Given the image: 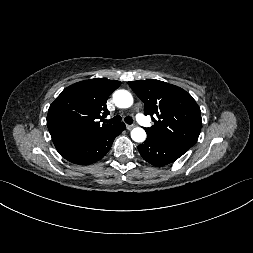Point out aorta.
Returning a JSON list of instances; mask_svg holds the SVG:
<instances>
[{"label": "aorta", "mask_w": 253, "mask_h": 253, "mask_svg": "<svg viewBox=\"0 0 253 253\" xmlns=\"http://www.w3.org/2000/svg\"><path fill=\"white\" fill-rule=\"evenodd\" d=\"M113 101L119 108H128L133 104V97L126 90H117L113 94ZM131 138L135 142H143L146 139V132L144 129L136 127L131 131Z\"/></svg>", "instance_id": "1"}]
</instances>
